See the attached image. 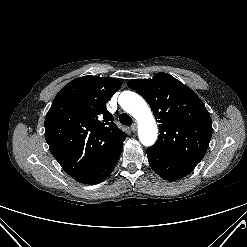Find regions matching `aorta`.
Here are the masks:
<instances>
[{"label": "aorta", "mask_w": 247, "mask_h": 247, "mask_svg": "<svg viewBox=\"0 0 247 247\" xmlns=\"http://www.w3.org/2000/svg\"><path fill=\"white\" fill-rule=\"evenodd\" d=\"M119 104L137 120L140 142L144 146L153 145L157 139L158 128L146 101L134 92L125 91L119 97Z\"/></svg>", "instance_id": "762f6f07"}]
</instances>
